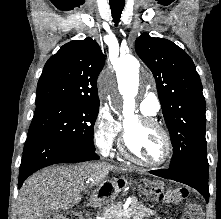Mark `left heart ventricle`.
Instances as JSON below:
<instances>
[{
    "mask_svg": "<svg viewBox=\"0 0 221 219\" xmlns=\"http://www.w3.org/2000/svg\"><path fill=\"white\" fill-rule=\"evenodd\" d=\"M128 148L139 159L155 162L161 159L165 150L162 134L155 128L141 124L132 118L125 123Z\"/></svg>",
    "mask_w": 221,
    "mask_h": 219,
    "instance_id": "b2bd125f",
    "label": "left heart ventricle"
}]
</instances>
